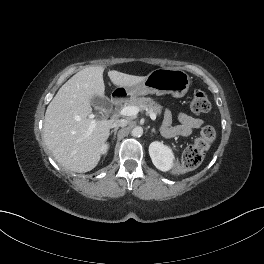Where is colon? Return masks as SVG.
<instances>
[{"mask_svg":"<svg viewBox=\"0 0 264 264\" xmlns=\"http://www.w3.org/2000/svg\"><path fill=\"white\" fill-rule=\"evenodd\" d=\"M190 109L196 114L206 113L210 110V102L202 91L193 93ZM216 132L212 126H204L195 143L187 147L182 155V162L177 166L176 172H183L195 168L202 160L204 151L209 148L215 139Z\"/></svg>","mask_w":264,"mask_h":264,"instance_id":"obj_1","label":"colon"}]
</instances>
